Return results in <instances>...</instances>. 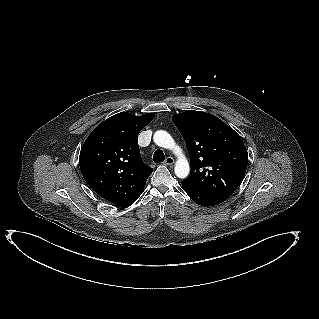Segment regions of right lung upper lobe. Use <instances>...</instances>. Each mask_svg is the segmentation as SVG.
I'll return each instance as SVG.
<instances>
[{
    "mask_svg": "<svg viewBox=\"0 0 319 319\" xmlns=\"http://www.w3.org/2000/svg\"><path fill=\"white\" fill-rule=\"evenodd\" d=\"M154 114L121 112L102 122L86 139L79 156L81 173L102 198L120 205L140 193L153 169L139 151V132Z\"/></svg>",
    "mask_w": 319,
    "mask_h": 319,
    "instance_id": "right-lung-upper-lobe-1",
    "label": "right lung upper lobe"
}]
</instances>
